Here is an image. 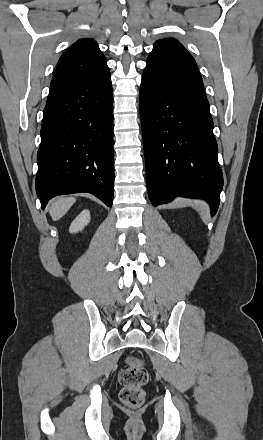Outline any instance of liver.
<instances>
[{"label":"liver","instance_id":"obj_1","mask_svg":"<svg viewBox=\"0 0 263 440\" xmlns=\"http://www.w3.org/2000/svg\"><path fill=\"white\" fill-rule=\"evenodd\" d=\"M73 197H60L55 199L49 208V213L54 221L62 218L75 203Z\"/></svg>","mask_w":263,"mask_h":440}]
</instances>
